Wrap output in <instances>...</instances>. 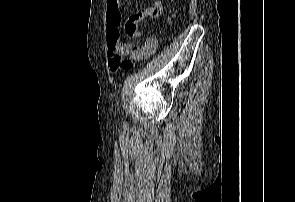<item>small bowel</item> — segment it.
I'll return each instance as SVG.
<instances>
[{
  "label": "small bowel",
  "mask_w": 295,
  "mask_h": 202,
  "mask_svg": "<svg viewBox=\"0 0 295 202\" xmlns=\"http://www.w3.org/2000/svg\"><path fill=\"white\" fill-rule=\"evenodd\" d=\"M162 10L163 5L161 1L155 0L151 7L139 10L130 18L134 23H137L145 17H158L162 13ZM106 19L108 23L111 24H118L122 21V14L119 9V0H106ZM157 48L158 39L155 36H149L142 47L133 46L128 43L123 44L120 48L108 47V62L110 69L112 71H117L119 68H122L123 65H121V58L125 55L131 54L138 59H142L154 54Z\"/></svg>",
  "instance_id": "small-bowel-1"
}]
</instances>
